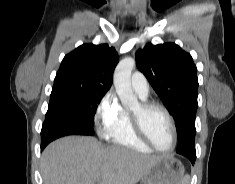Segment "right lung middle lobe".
Segmentation results:
<instances>
[{"mask_svg":"<svg viewBox=\"0 0 235 184\" xmlns=\"http://www.w3.org/2000/svg\"><path fill=\"white\" fill-rule=\"evenodd\" d=\"M108 88L97 86H69L50 95V104L61 105L78 115L93 126L97 105L108 91Z\"/></svg>","mask_w":235,"mask_h":184,"instance_id":"dd1d6c3e","label":"right lung middle lobe"}]
</instances>
